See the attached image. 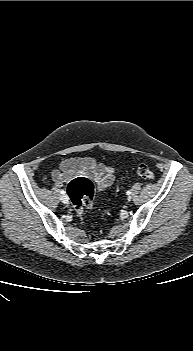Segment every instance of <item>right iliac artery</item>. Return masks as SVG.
<instances>
[{"instance_id":"right-iliac-artery-1","label":"right iliac artery","mask_w":193,"mask_h":351,"mask_svg":"<svg viewBox=\"0 0 193 351\" xmlns=\"http://www.w3.org/2000/svg\"><path fill=\"white\" fill-rule=\"evenodd\" d=\"M60 193L64 195L66 192L64 190H60Z\"/></svg>"}]
</instances>
